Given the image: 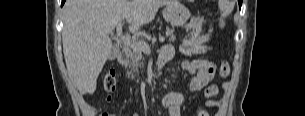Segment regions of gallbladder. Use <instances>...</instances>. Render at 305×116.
Instances as JSON below:
<instances>
[{"label": "gallbladder", "mask_w": 305, "mask_h": 116, "mask_svg": "<svg viewBox=\"0 0 305 116\" xmlns=\"http://www.w3.org/2000/svg\"><path fill=\"white\" fill-rule=\"evenodd\" d=\"M116 57V49H114L108 56V59L113 60Z\"/></svg>", "instance_id": "obj_1"}]
</instances>
